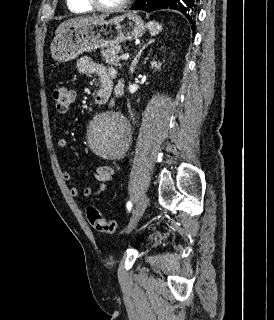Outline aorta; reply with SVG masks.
<instances>
[{
	"label": "aorta",
	"instance_id": "762f6f07",
	"mask_svg": "<svg viewBox=\"0 0 274 320\" xmlns=\"http://www.w3.org/2000/svg\"><path fill=\"white\" fill-rule=\"evenodd\" d=\"M130 139V125L118 112L97 115L87 131L89 148L104 159H115L127 147Z\"/></svg>",
	"mask_w": 274,
	"mask_h": 320
}]
</instances>
